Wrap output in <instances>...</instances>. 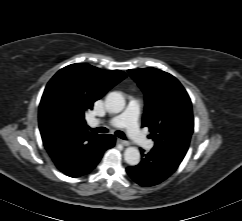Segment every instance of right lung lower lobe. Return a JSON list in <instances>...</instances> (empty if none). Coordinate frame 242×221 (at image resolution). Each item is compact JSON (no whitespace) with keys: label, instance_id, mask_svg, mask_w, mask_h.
Instances as JSON below:
<instances>
[{"label":"right lung lower lobe","instance_id":"obj_1","mask_svg":"<svg viewBox=\"0 0 242 221\" xmlns=\"http://www.w3.org/2000/svg\"><path fill=\"white\" fill-rule=\"evenodd\" d=\"M113 135H98L92 138L72 159L56 164L57 168L70 177H79L89 173L100 161L105 150L113 147Z\"/></svg>","mask_w":242,"mask_h":221}]
</instances>
